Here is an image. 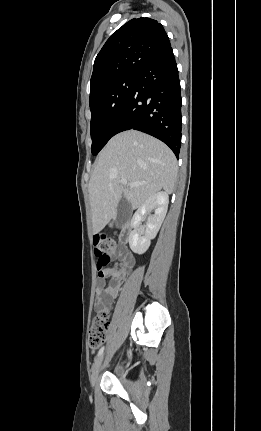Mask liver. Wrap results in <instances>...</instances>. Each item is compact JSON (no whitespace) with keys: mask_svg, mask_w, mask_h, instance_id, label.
<instances>
[{"mask_svg":"<svg viewBox=\"0 0 261 431\" xmlns=\"http://www.w3.org/2000/svg\"><path fill=\"white\" fill-rule=\"evenodd\" d=\"M177 172L174 153L158 139L135 130L112 137L96 159L88 186L93 233L114 218L122 196L136 209L161 189L171 194ZM122 179L143 184L126 187Z\"/></svg>","mask_w":261,"mask_h":431,"instance_id":"6515ba94","label":"liver"}]
</instances>
